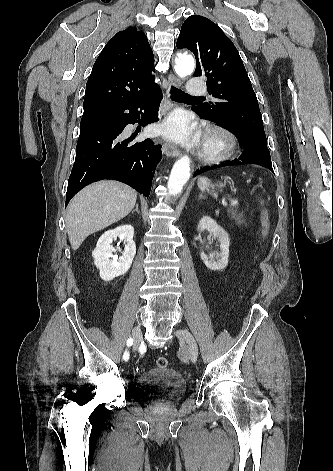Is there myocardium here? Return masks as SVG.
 <instances>
[{
    "instance_id": "myocardium-1",
    "label": "myocardium",
    "mask_w": 333,
    "mask_h": 471,
    "mask_svg": "<svg viewBox=\"0 0 333 471\" xmlns=\"http://www.w3.org/2000/svg\"><path fill=\"white\" fill-rule=\"evenodd\" d=\"M236 137L227 129L213 126L206 130L200 157L207 163H218L229 159L237 148Z\"/></svg>"
}]
</instances>
